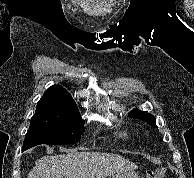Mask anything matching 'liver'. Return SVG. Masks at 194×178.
<instances>
[{"label": "liver", "instance_id": "liver-1", "mask_svg": "<svg viewBox=\"0 0 194 178\" xmlns=\"http://www.w3.org/2000/svg\"><path fill=\"white\" fill-rule=\"evenodd\" d=\"M136 168L134 163L117 154L72 151L38 159L28 178H106Z\"/></svg>", "mask_w": 194, "mask_h": 178}]
</instances>
